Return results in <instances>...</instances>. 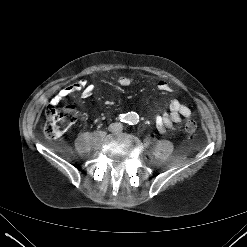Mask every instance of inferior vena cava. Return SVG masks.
<instances>
[{
	"instance_id": "602c4592",
	"label": "inferior vena cava",
	"mask_w": 247,
	"mask_h": 247,
	"mask_svg": "<svg viewBox=\"0 0 247 247\" xmlns=\"http://www.w3.org/2000/svg\"><path fill=\"white\" fill-rule=\"evenodd\" d=\"M120 124H113L112 129L115 131Z\"/></svg>"
}]
</instances>
